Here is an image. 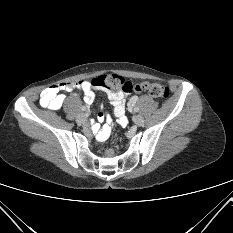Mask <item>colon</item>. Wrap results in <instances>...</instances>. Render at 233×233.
Here are the masks:
<instances>
[{"label": "colon", "instance_id": "colon-1", "mask_svg": "<svg viewBox=\"0 0 233 233\" xmlns=\"http://www.w3.org/2000/svg\"><path fill=\"white\" fill-rule=\"evenodd\" d=\"M105 78L103 84H106L110 90L120 89L125 93H147L153 98L164 100L169 96V88L157 83L144 82L134 84L124 77L116 74L102 75ZM108 155H112L111 149L107 150Z\"/></svg>", "mask_w": 233, "mask_h": 233}]
</instances>
